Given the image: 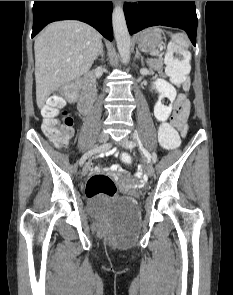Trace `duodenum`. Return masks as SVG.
<instances>
[{
	"instance_id": "1",
	"label": "duodenum",
	"mask_w": 233,
	"mask_h": 295,
	"mask_svg": "<svg viewBox=\"0 0 233 295\" xmlns=\"http://www.w3.org/2000/svg\"><path fill=\"white\" fill-rule=\"evenodd\" d=\"M94 82V74L89 73L85 78V88L78 102L79 109L82 113H88L95 101L96 89L94 86Z\"/></svg>"
}]
</instances>
